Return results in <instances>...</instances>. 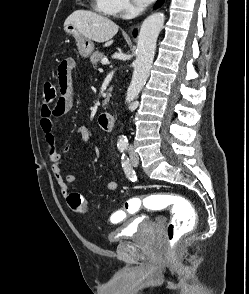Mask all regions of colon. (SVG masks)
<instances>
[{"label":"colon","instance_id":"obj_1","mask_svg":"<svg viewBox=\"0 0 249 294\" xmlns=\"http://www.w3.org/2000/svg\"><path fill=\"white\" fill-rule=\"evenodd\" d=\"M70 68V57H67L60 63L58 69L65 74ZM57 99V86L50 81H46L43 86V102L45 104H51ZM67 201L75 214H87L88 208L86 201L80 194L70 193L67 197ZM166 206L173 207V216L166 227V237L169 243L174 244L178 242L184 234L191 231L196 224L195 210L187 199L173 194L131 198L124 203L122 209L119 211V216L123 219L129 215L135 214L142 207L158 209Z\"/></svg>","mask_w":249,"mask_h":294}]
</instances>
